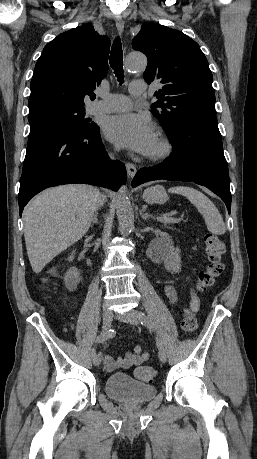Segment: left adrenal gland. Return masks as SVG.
<instances>
[{
  "mask_svg": "<svg viewBox=\"0 0 257 459\" xmlns=\"http://www.w3.org/2000/svg\"><path fill=\"white\" fill-rule=\"evenodd\" d=\"M146 206H142V209L140 210V215L143 220H147L149 218L155 220V217L150 215L149 213L146 212Z\"/></svg>",
  "mask_w": 257,
  "mask_h": 459,
  "instance_id": "a2214340",
  "label": "left adrenal gland"
}]
</instances>
